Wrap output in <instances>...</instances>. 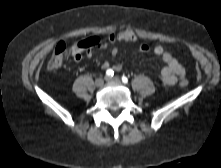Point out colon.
Returning a JSON list of instances; mask_svg holds the SVG:
<instances>
[{
  "instance_id": "obj_1",
  "label": "colon",
  "mask_w": 221,
  "mask_h": 168,
  "mask_svg": "<svg viewBox=\"0 0 221 168\" xmlns=\"http://www.w3.org/2000/svg\"><path fill=\"white\" fill-rule=\"evenodd\" d=\"M107 38L113 44H124L127 41L130 43H135L137 41L136 31L134 29L116 30L115 32H109ZM98 44V38H91L87 41L80 42L72 48L71 54L74 59L79 60L85 50H88ZM66 56V45L63 42L58 43L53 51L51 58L47 63V68L49 70H55L59 68L63 64ZM180 85L182 87H186L188 83L187 81L183 80L180 82Z\"/></svg>"
}]
</instances>
